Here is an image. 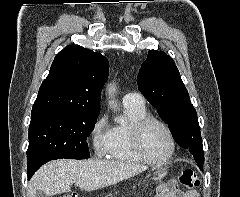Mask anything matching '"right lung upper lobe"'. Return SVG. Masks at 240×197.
<instances>
[{
  "label": "right lung upper lobe",
  "instance_id": "1",
  "mask_svg": "<svg viewBox=\"0 0 240 197\" xmlns=\"http://www.w3.org/2000/svg\"><path fill=\"white\" fill-rule=\"evenodd\" d=\"M108 67V60L102 54L79 45L66 46L55 56L32 113H99Z\"/></svg>",
  "mask_w": 240,
  "mask_h": 197
}]
</instances>
